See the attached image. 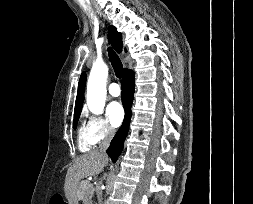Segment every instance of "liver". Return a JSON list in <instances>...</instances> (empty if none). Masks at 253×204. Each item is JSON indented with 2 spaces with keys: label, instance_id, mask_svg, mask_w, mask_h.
<instances>
[{
  "label": "liver",
  "instance_id": "1",
  "mask_svg": "<svg viewBox=\"0 0 253 204\" xmlns=\"http://www.w3.org/2000/svg\"><path fill=\"white\" fill-rule=\"evenodd\" d=\"M109 158L98 149L77 157L68 169L65 181V192L70 204H78V187L81 179L101 173L108 164Z\"/></svg>",
  "mask_w": 253,
  "mask_h": 204
}]
</instances>
